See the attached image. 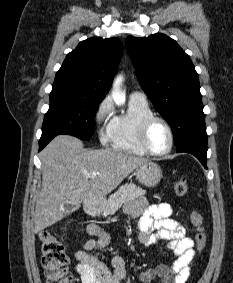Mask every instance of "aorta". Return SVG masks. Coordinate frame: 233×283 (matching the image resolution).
<instances>
[{"mask_svg": "<svg viewBox=\"0 0 233 283\" xmlns=\"http://www.w3.org/2000/svg\"><path fill=\"white\" fill-rule=\"evenodd\" d=\"M123 77L118 76L113 84L112 97L117 105H121L125 102V94L120 91V85L122 83Z\"/></svg>", "mask_w": 233, "mask_h": 283, "instance_id": "obj_1", "label": "aorta"}]
</instances>
